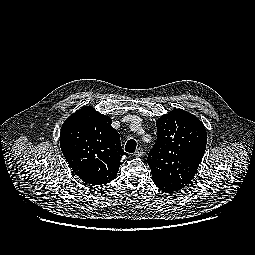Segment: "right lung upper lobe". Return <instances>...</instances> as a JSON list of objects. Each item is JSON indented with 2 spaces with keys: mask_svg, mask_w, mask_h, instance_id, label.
Returning a JSON list of instances; mask_svg holds the SVG:
<instances>
[{
  "mask_svg": "<svg viewBox=\"0 0 255 255\" xmlns=\"http://www.w3.org/2000/svg\"><path fill=\"white\" fill-rule=\"evenodd\" d=\"M111 123L110 117L85 106L69 116L61 127L62 153L85 183L102 185L117 175L120 159L126 153Z\"/></svg>",
  "mask_w": 255,
  "mask_h": 255,
  "instance_id": "right-lung-upper-lobe-1",
  "label": "right lung upper lobe"
}]
</instances>
